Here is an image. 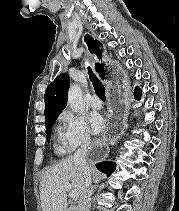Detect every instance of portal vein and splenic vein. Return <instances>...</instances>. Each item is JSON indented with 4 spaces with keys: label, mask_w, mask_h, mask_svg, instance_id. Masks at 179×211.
Wrapping results in <instances>:
<instances>
[{
    "label": "portal vein and splenic vein",
    "mask_w": 179,
    "mask_h": 211,
    "mask_svg": "<svg viewBox=\"0 0 179 211\" xmlns=\"http://www.w3.org/2000/svg\"><path fill=\"white\" fill-rule=\"evenodd\" d=\"M66 189L69 190V196L73 199H77L79 197V192L76 189H73L69 183H64Z\"/></svg>",
    "instance_id": "18ae733b"
}]
</instances>
